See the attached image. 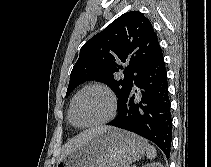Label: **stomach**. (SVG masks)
<instances>
[{
	"label": "stomach",
	"mask_w": 211,
	"mask_h": 167,
	"mask_svg": "<svg viewBox=\"0 0 211 167\" xmlns=\"http://www.w3.org/2000/svg\"><path fill=\"white\" fill-rule=\"evenodd\" d=\"M146 147L143 138L109 128L65 156L56 167H129L143 157Z\"/></svg>",
	"instance_id": "1"
}]
</instances>
